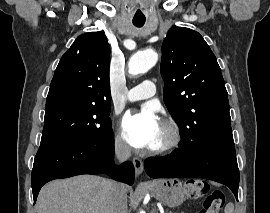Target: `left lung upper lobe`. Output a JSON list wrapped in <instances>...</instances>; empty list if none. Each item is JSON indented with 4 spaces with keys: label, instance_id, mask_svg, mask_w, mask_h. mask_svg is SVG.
I'll return each mask as SVG.
<instances>
[{
    "label": "left lung upper lobe",
    "instance_id": "1",
    "mask_svg": "<svg viewBox=\"0 0 270 213\" xmlns=\"http://www.w3.org/2000/svg\"><path fill=\"white\" fill-rule=\"evenodd\" d=\"M164 102L181 139L214 145L234 142L228 93L217 59L202 36L172 27L162 44Z\"/></svg>",
    "mask_w": 270,
    "mask_h": 213
}]
</instances>
